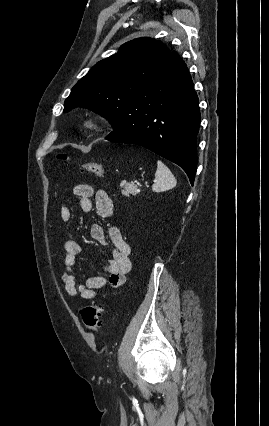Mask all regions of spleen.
I'll list each match as a JSON object with an SVG mask.
<instances>
[{
	"instance_id": "spleen-1",
	"label": "spleen",
	"mask_w": 269,
	"mask_h": 426,
	"mask_svg": "<svg viewBox=\"0 0 269 426\" xmlns=\"http://www.w3.org/2000/svg\"><path fill=\"white\" fill-rule=\"evenodd\" d=\"M176 185V179L169 168L161 161H157V170L155 173V183L152 186L154 192H162L173 188Z\"/></svg>"
}]
</instances>
